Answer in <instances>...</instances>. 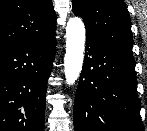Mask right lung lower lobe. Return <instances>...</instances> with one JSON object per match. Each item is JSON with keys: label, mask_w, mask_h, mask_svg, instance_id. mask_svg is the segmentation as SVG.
<instances>
[{"label": "right lung lower lobe", "mask_w": 147, "mask_h": 131, "mask_svg": "<svg viewBox=\"0 0 147 131\" xmlns=\"http://www.w3.org/2000/svg\"><path fill=\"white\" fill-rule=\"evenodd\" d=\"M55 50L54 32L0 53V131H44L47 79Z\"/></svg>", "instance_id": "1"}]
</instances>
